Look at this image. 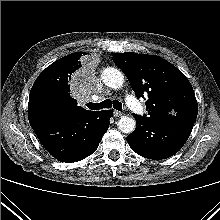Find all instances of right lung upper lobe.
<instances>
[{
	"mask_svg": "<svg viewBox=\"0 0 220 220\" xmlns=\"http://www.w3.org/2000/svg\"><path fill=\"white\" fill-rule=\"evenodd\" d=\"M87 53L69 54L48 66L34 82L28 103V112L38 108H48L71 115L92 112L77 105V100L70 96L69 82L80 67L81 56Z\"/></svg>",
	"mask_w": 220,
	"mask_h": 220,
	"instance_id": "right-lung-upper-lobe-1",
	"label": "right lung upper lobe"
}]
</instances>
